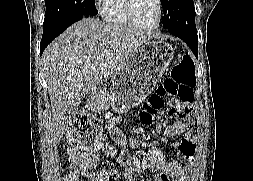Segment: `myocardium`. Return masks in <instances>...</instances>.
<instances>
[{"mask_svg":"<svg viewBox=\"0 0 253 181\" xmlns=\"http://www.w3.org/2000/svg\"><path fill=\"white\" fill-rule=\"evenodd\" d=\"M156 1H157V4H158L157 20L152 25H145V24L140 23L134 15V11H133L134 0H123V2H124V13H125V16H126L128 22H129V24L136 27V28L143 29V30L157 29L161 25L162 20H163L164 6H163L162 0H156Z\"/></svg>","mask_w":253,"mask_h":181,"instance_id":"1","label":"myocardium"}]
</instances>
